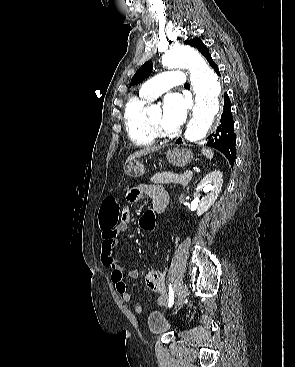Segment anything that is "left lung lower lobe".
Masks as SVG:
<instances>
[{
    "instance_id": "1",
    "label": "left lung lower lobe",
    "mask_w": 295,
    "mask_h": 367,
    "mask_svg": "<svg viewBox=\"0 0 295 367\" xmlns=\"http://www.w3.org/2000/svg\"><path fill=\"white\" fill-rule=\"evenodd\" d=\"M208 62L218 73V75H220L218 66L213 62V60H209ZM206 140H207L206 143L207 146L219 150L226 156L231 165L234 164L236 157L235 135L233 131L231 102L227 93H225L224 95V105H223V113L221 116V123L217 127L216 131L211 135H209L206 138ZM177 143H181V139H178Z\"/></svg>"
}]
</instances>
